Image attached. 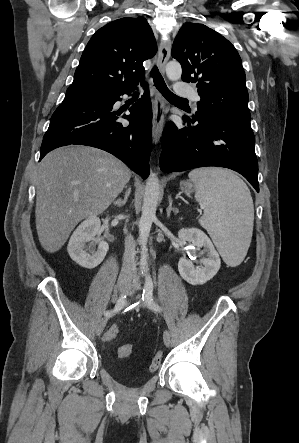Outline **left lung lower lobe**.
I'll list each match as a JSON object with an SVG mask.
<instances>
[{"mask_svg": "<svg viewBox=\"0 0 299 443\" xmlns=\"http://www.w3.org/2000/svg\"><path fill=\"white\" fill-rule=\"evenodd\" d=\"M186 127L168 122L162 136L164 172L218 166L242 174L259 192L255 137L250 121L183 116Z\"/></svg>", "mask_w": 299, "mask_h": 443, "instance_id": "1", "label": "left lung lower lobe"}]
</instances>
